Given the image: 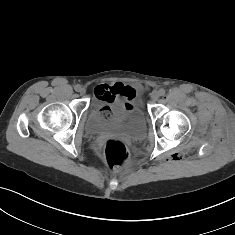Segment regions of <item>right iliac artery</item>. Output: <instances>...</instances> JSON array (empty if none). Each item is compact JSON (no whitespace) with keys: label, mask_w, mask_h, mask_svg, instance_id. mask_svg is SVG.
Here are the masks:
<instances>
[{"label":"right iliac artery","mask_w":235,"mask_h":235,"mask_svg":"<svg viewBox=\"0 0 235 235\" xmlns=\"http://www.w3.org/2000/svg\"><path fill=\"white\" fill-rule=\"evenodd\" d=\"M80 88H81V86H80L79 84H77V85L74 87L75 91H79Z\"/></svg>","instance_id":"82829eb1"}]
</instances>
